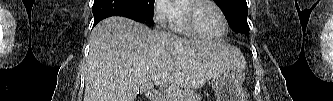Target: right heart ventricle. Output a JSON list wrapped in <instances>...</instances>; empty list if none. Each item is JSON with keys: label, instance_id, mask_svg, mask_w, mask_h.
Here are the masks:
<instances>
[{"label": "right heart ventricle", "instance_id": "e07e8e85", "mask_svg": "<svg viewBox=\"0 0 333 101\" xmlns=\"http://www.w3.org/2000/svg\"><path fill=\"white\" fill-rule=\"evenodd\" d=\"M182 4L183 1H178L175 5V16L173 18L172 25L178 33L189 35V32L187 31L183 21Z\"/></svg>", "mask_w": 333, "mask_h": 101}]
</instances>
